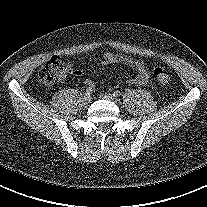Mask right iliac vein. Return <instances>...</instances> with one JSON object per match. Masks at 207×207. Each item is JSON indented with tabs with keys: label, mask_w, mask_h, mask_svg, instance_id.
<instances>
[{
	"label": "right iliac vein",
	"mask_w": 207,
	"mask_h": 207,
	"mask_svg": "<svg viewBox=\"0 0 207 207\" xmlns=\"http://www.w3.org/2000/svg\"><path fill=\"white\" fill-rule=\"evenodd\" d=\"M90 101H91V96L89 95V94H84L83 95V102L84 103H90Z\"/></svg>",
	"instance_id": "right-iliac-vein-1"
}]
</instances>
